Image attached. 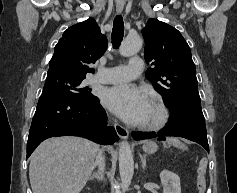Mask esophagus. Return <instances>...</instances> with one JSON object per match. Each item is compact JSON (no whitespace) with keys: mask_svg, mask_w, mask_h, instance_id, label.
<instances>
[{"mask_svg":"<svg viewBox=\"0 0 237 193\" xmlns=\"http://www.w3.org/2000/svg\"><path fill=\"white\" fill-rule=\"evenodd\" d=\"M116 10H117V13L120 14V13L123 11V7H122V6H117ZM114 128H115V130H116V132H117V135H118L121 139H126V138H128V136H129V131H128L126 128H124L123 126H121V125L118 124V123H115V124H114Z\"/></svg>","mask_w":237,"mask_h":193,"instance_id":"esophagus-1","label":"esophagus"}]
</instances>
